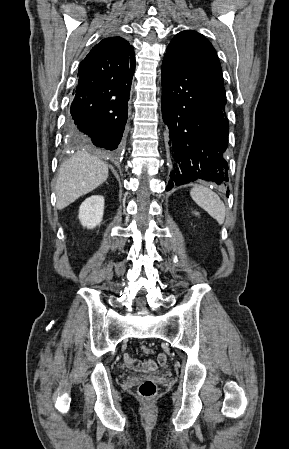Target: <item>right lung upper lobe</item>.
I'll use <instances>...</instances> for the list:
<instances>
[{
  "mask_svg": "<svg viewBox=\"0 0 289 449\" xmlns=\"http://www.w3.org/2000/svg\"><path fill=\"white\" fill-rule=\"evenodd\" d=\"M134 67L133 47L121 37H109L95 45L80 63L78 76L89 80L112 78Z\"/></svg>",
  "mask_w": 289,
  "mask_h": 449,
  "instance_id": "cb5924a9",
  "label": "right lung upper lobe"
}]
</instances>
